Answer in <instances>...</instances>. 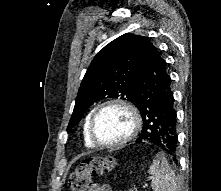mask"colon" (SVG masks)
I'll use <instances>...</instances> for the list:
<instances>
[{"label": "colon", "instance_id": "obj_1", "mask_svg": "<svg viewBox=\"0 0 221 191\" xmlns=\"http://www.w3.org/2000/svg\"><path fill=\"white\" fill-rule=\"evenodd\" d=\"M116 165L112 157H91L84 159L70 177L71 191H89L92 178L109 173ZM102 191H112L108 184L102 185Z\"/></svg>", "mask_w": 221, "mask_h": 191}]
</instances>
